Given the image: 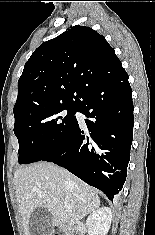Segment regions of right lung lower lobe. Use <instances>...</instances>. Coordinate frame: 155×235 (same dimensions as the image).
<instances>
[{"instance_id": "obj_1", "label": "right lung lower lobe", "mask_w": 155, "mask_h": 235, "mask_svg": "<svg viewBox=\"0 0 155 235\" xmlns=\"http://www.w3.org/2000/svg\"><path fill=\"white\" fill-rule=\"evenodd\" d=\"M122 71L88 89L77 102L88 134L78 123L68 140L43 159L66 168L113 201L127 175L133 139V101Z\"/></svg>"}]
</instances>
